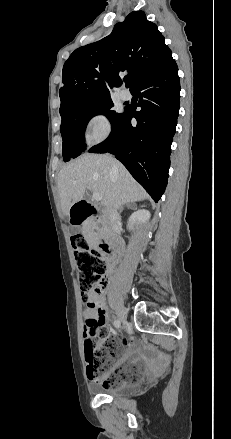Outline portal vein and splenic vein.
Returning <instances> with one entry per match:
<instances>
[{"mask_svg": "<svg viewBox=\"0 0 231 439\" xmlns=\"http://www.w3.org/2000/svg\"><path fill=\"white\" fill-rule=\"evenodd\" d=\"M92 198H93L94 200H96V201H101V200H102V196H101V194L98 193V192L93 193Z\"/></svg>", "mask_w": 231, "mask_h": 439, "instance_id": "1", "label": "portal vein and splenic vein"}]
</instances>
